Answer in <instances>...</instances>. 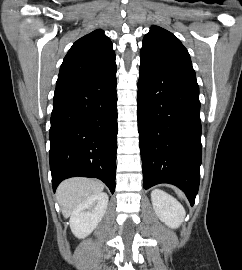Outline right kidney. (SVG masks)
<instances>
[{"label":"right kidney","mask_w":242,"mask_h":270,"mask_svg":"<svg viewBox=\"0 0 242 270\" xmlns=\"http://www.w3.org/2000/svg\"><path fill=\"white\" fill-rule=\"evenodd\" d=\"M108 205V195L97 193L85 199L72 213L70 228L78 238H85L103 218Z\"/></svg>","instance_id":"right-kidney-1"}]
</instances>
